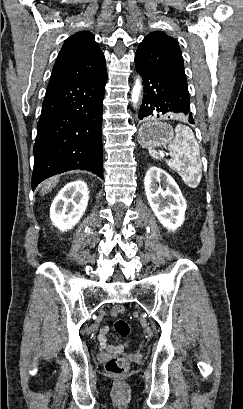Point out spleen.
Segmentation results:
<instances>
[{
    "instance_id": "obj_1",
    "label": "spleen",
    "mask_w": 243,
    "mask_h": 409,
    "mask_svg": "<svg viewBox=\"0 0 243 409\" xmlns=\"http://www.w3.org/2000/svg\"><path fill=\"white\" fill-rule=\"evenodd\" d=\"M176 136L169 145L171 159L166 160L167 165L176 171L185 184L196 188L202 178V164L200 150L193 131L185 125L175 127ZM149 154L159 159L158 153L149 148Z\"/></svg>"
}]
</instances>
